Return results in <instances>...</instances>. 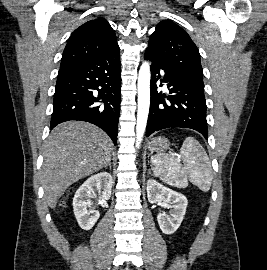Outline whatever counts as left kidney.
I'll return each instance as SVG.
<instances>
[{"label": "left kidney", "mask_w": 267, "mask_h": 270, "mask_svg": "<svg viewBox=\"0 0 267 270\" xmlns=\"http://www.w3.org/2000/svg\"><path fill=\"white\" fill-rule=\"evenodd\" d=\"M147 197L150 203L163 201L165 206L171 209L170 216L160 213L157 220L164 234H173L183 221L188 205L187 198L154 179L147 181Z\"/></svg>", "instance_id": "left-kidney-1"}]
</instances>
